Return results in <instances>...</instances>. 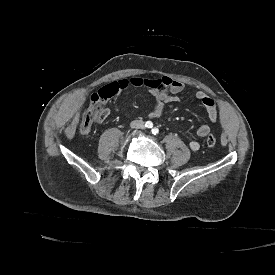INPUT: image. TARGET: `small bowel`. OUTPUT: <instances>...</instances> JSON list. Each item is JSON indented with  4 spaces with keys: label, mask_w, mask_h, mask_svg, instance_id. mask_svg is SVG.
<instances>
[{
    "label": "small bowel",
    "mask_w": 275,
    "mask_h": 275,
    "mask_svg": "<svg viewBox=\"0 0 275 275\" xmlns=\"http://www.w3.org/2000/svg\"><path fill=\"white\" fill-rule=\"evenodd\" d=\"M128 85L146 88L151 93L154 98V106L150 115L154 118L162 115L166 104L178 102L180 99L179 94L184 90V84L182 82L168 77H164L161 80H146L135 77L129 82L122 79L104 85L98 92L93 94L92 100L98 99L100 95L105 94L114 86L119 93ZM195 98L204 106L209 121L216 122L218 119V107L215 100L203 91H197L195 93ZM210 131L211 128L208 124H202L198 127L196 133L199 137H206L210 134ZM190 147L193 150H197L199 144L197 141L193 140L190 142Z\"/></svg>",
    "instance_id": "1"
}]
</instances>
